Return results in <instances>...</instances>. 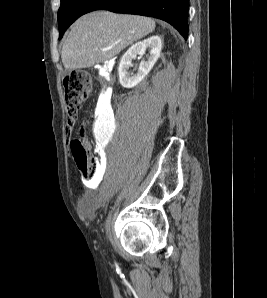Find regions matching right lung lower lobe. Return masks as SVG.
I'll return each mask as SVG.
<instances>
[{"instance_id": "obj_1", "label": "right lung lower lobe", "mask_w": 267, "mask_h": 298, "mask_svg": "<svg viewBox=\"0 0 267 298\" xmlns=\"http://www.w3.org/2000/svg\"><path fill=\"white\" fill-rule=\"evenodd\" d=\"M189 0H98L91 8L115 13L136 14L162 19L187 39Z\"/></svg>"}]
</instances>
